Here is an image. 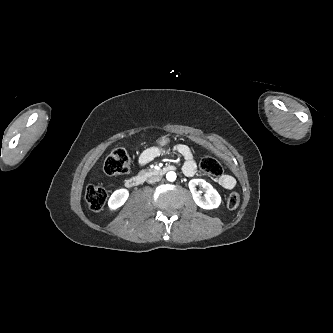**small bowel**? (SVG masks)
Returning <instances> with one entry per match:
<instances>
[{"instance_id":"obj_1","label":"small bowel","mask_w":333,"mask_h":333,"mask_svg":"<svg viewBox=\"0 0 333 333\" xmlns=\"http://www.w3.org/2000/svg\"><path fill=\"white\" fill-rule=\"evenodd\" d=\"M174 149L184 159L183 172L187 176H193L196 173V162L191 148L185 144H177ZM162 153L159 147H149L145 149L139 156L138 163L145 166ZM214 181L223 189L230 190L235 187L236 180L229 174H222L214 179Z\"/></svg>"}]
</instances>
